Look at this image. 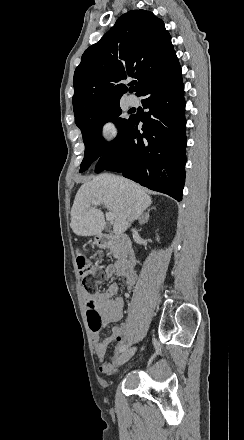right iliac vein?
Here are the masks:
<instances>
[{"mask_svg": "<svg viewBox=\"0 0 244 440\" xmlns=\"http://www.w3.org/2000/svg\"><path fill=\"white\" fill-rule=\"evenodd\" d=\"M135 352H136V347L125 350L118 358V364L122 365L127 361H129L131 357L135 354Z\"/></svg>", "mask_w": 244, "mask_h": 440, "instance_id": "63e3f726", "label": "right iliac vein"}]
</instances>
